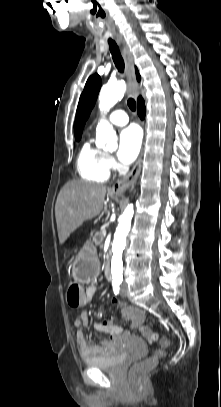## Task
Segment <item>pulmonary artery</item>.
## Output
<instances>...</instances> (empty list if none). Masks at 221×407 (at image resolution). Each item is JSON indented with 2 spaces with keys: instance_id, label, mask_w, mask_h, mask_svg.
<instances>
[{
  "instance_id": "e3ab8cb5",
  "label": "pulmonary artery",
  "mask_w": 221,
  "mask_h": 407,
  "mask_svg": "<svg viewBox=\"0 0 221 407\" xmlns=\"http://www.w3.org/2000/svg\"><path fill=\"white\" fill-rule=\"evenodd\" d=\"M108 120L113 125L124 126L128 123L129 118L125 111L115 110L109 115Z\"/></svg>"
}]
</instances>
